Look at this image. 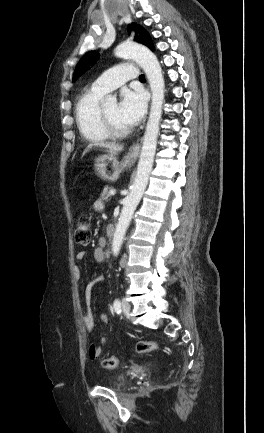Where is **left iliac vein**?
<instances>
[{"label": "left iliac vein", "mask_w": 264, "mask_h": 433, "mask_svg": "<svg viewBox=\"0 0 264 433\" xmlns=\"http://www.w3.org/2000/svg\"><path fill=\"white\" fill-rule=\"evenodd\" d=\"M130 310H131V306H130L129 302L125 298H123L122 299V311L124 312V314L129 315Z\"/></svg>", "instance_id": "obj_1"}]
</instances>
